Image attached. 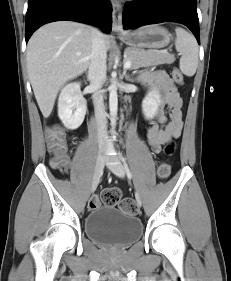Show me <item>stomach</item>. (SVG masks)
<instances>
[{"label": "stomach", "instance_id": "obj_1", "mask_svg": "<svg viewBox=\"0 0 231 281\" xmlns=\"http://www.w3.org/2000/svg\"><path fill=\"white\" fill-rule=\"evenodd\" d=\"M121 39L132 48L159 49L169 44L171 34L161 26L148 25L122 34Z\"/></svg>", "mask_w": 231, "mask_h": 281}]
</instances>
